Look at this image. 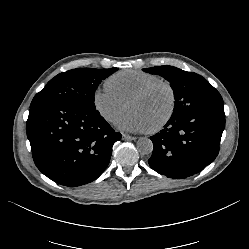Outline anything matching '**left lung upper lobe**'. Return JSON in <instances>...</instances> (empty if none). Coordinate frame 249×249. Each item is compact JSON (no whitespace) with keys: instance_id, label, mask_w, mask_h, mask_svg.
<instances>
[{"instance_id":"1","label":"left lung upper lobe","mask_w":249,"mask_h":249,"mask_svg":"<svg viewBox=\"0 0 249 249\" xmlns=\"http://www.w3.org/2000/svg\"><path fill=\"white\" fill-rule=\"evenodd\" d=\"M143 71L164 77L174 91L175 107L171 118L210 107H223L219 92L202 76L173 66H157Z\"/></svg>"}]
</instances>
